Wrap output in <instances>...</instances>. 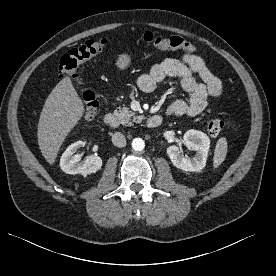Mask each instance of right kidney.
Instances as JSON below:
<instances>
[{
  "label": "right kidney",
  "mask_w": 276,
  "mask_h": 276,
  "mask_svg": "<svg viewBox=\"0 0 276 276\" xmlns=\"http://www.w3.org/2000/svg\"><path fill=\"white\" fill-rule=\"evenodd\" d=\"M83 141H77L67 147L60 159V167L67 174H81L87 176L95 173L102 166V159L97 155L81 160L80 154H75L79 148L83 147Z\"/></svg>",
  "instance_id": "1"
}]
</instances>
